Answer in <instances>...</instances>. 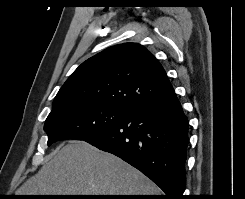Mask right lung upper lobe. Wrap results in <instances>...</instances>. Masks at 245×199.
<instances>
[{"label": "right lung upper lobe", "mask_w": 245, "mask_h": 199, "mask_svg": "<svg viewBox=\"0 0 245 199\" xmlns=\"http://www.w3.org/2000/svg\"><path fill=\"white\" fill-rule=\"evenodd\" d=\"M173 92L157 59L140 44L124 43L82 63L60 88L51 112L83 103L129 111Z\"/></svg>", "instance_id": "right-lung-upper-lobe-1"}]
</instances>
